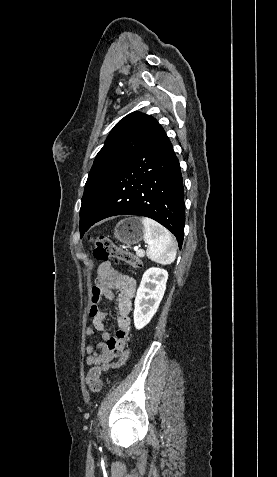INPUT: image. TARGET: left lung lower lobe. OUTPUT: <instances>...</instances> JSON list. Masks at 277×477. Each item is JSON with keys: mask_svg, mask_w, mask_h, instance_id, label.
Segmentation results:
<instances>
[{"mask_svg": "<svg viewBox=\"0 0 277 477\" xmlns=\"http://www.w3.org/2000/svg\"><path fill=\"white\" fill-rule=\"evenodd\" d=\"M115 215L154 219L170 230L182 246L184 189L178 159L161 131L142 146L116 173L81 237L96 222Z\"/></svg>", "mask_w": 277, "mask_h": 477, "instance_id": "1", "label": "left lung lower lobe"}]
</instances>
